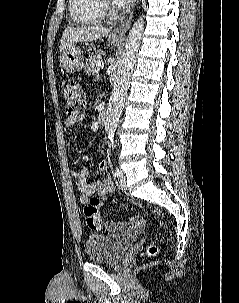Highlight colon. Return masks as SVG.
I'll use <instances>...</instances> for the list:
<instances>
[{
    "label": "colon",
    "instance_id": "1",
    "mask_svg": "<svg viewBox=\"0 0 239 303\" xmlns=\"http://www.w3.org/2000/svg\"><path fill=\"white\" fill-rule=\"evenodd\" d=\"M65 112L69 118L81 115L86 108V95L81 84L73 78L64 80L62 85ZM106 196L92 197L84 208L85 221L88 227L99 230L102 225L99 208ZM158 251L155 243H150L147 247L148 256H154Z\"/></svg>",
    "mask_w": 239,
    "mask_h": 303
}]
</instances>
